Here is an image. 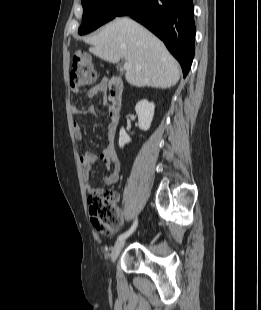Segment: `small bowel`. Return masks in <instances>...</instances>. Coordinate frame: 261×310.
Wrapping results in <instances>:
<instances>
[{
  "instance_id": "obj_1",
  "label": "small bowel",
  "mask_w": 261,
  "mask_h": 310,
  "mask_svg": "<svg viewBox=\"0 0 261 310\" xmlns=\"http://www.w3.org/2000/svg\"><path fill=\"white\" fill-rule=\"evenodd\" d=\"M107 89V81L103 80L95 87L86 90L85 94L87 97L92 98L98 94H102ZM79 92V89H75ZM72 113L75 116L82 115V112L77 107H72ZM89 113H94V108L91 107L88 111ZM73 132L77 140L82 139L81 127L77 121L73 122ZM107 139L108 145L104 148L100 155L101 160L104 162L108 169V173L104 176L103 181L106 185H111L118 181L120 176L121 164L115 149V129L111 125V121L107 129ZM99 156L93 152H86L81 157V171L82 176L85 181V188L89 194L98 195L102 193V189L95 187L90 181V171L93 165L98 161Z\"/></svg>"
}]
</instances>
